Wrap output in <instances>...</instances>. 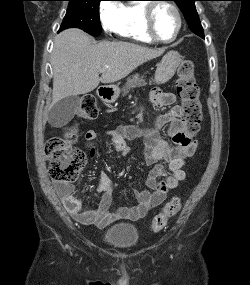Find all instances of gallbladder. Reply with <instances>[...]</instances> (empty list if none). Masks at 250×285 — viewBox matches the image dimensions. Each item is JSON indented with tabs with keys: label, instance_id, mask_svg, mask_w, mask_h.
<instances>
[{
	"label": "gallbladder",
	"instance_id": "1",
	"mask_svg": "<svg viewBox=\"0 0 250 285\" xmlns=\"http://www.w3.org/2000/svg\"><path fill=\"white\" fill-rule=\"evenodd\" d=\"M81 103L78 96H69L53 105L48 113V122L53 127H62L68 124L76 114Z\"/></svg>",
	"mask_w": 250,
	"mask_h": 285
}]
</instances>
